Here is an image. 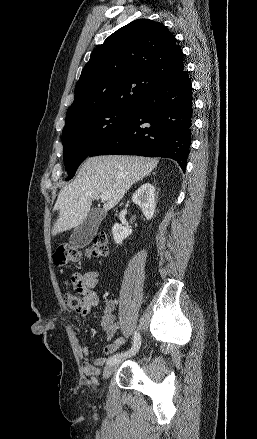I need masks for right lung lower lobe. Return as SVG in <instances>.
I'll list each match as a JSON object with an SVG mask.
<instances>
[{
  "label": "right lung lower lobe",
  "instance_id": "98d812e1",
  "mask_svg": "<svg viewBox=\"0 0 257 439\" xmlns=\"http://www.w3.org/2000/svg\"><path fill=\"white\" fill-rule=\"evenodd\" d=\"M192 84L186 71L150 93L121 127L89 156L167 157L183 171L191 143Z\"/></svg>",
  "mask_w": 257,
  "mask_h": 439
}]
</instances>
